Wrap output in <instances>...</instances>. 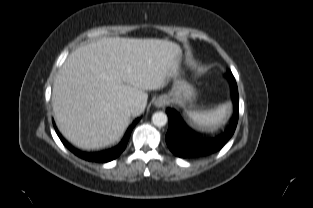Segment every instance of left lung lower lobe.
Here are the masks:
<instances>
[{
	"mask_svg": "<svg viewBox=\"0 0 313 208\" xmlns=\"http://www.w3.org/2000/svg\"><path fill=\"white\" fill-rule=\"evenodd\" d=\"M232 79L236 100V112L224 133L218 137L212 139L198 138L195 136V132L186 125L183 118L176 110H167L169 128L166 134V143L176 156L196 158L212 154L220 150L232 137L239 117L238 88L235 79Z\"/></svg>",
	"mask_w": 313,
	"mask_h": 208,
	"instance_id": "1",
	"label": "left lung lower lobe"
}]
</instances>
